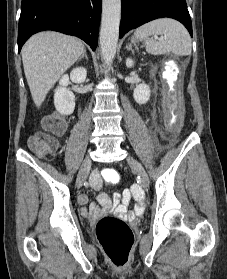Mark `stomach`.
Listing matches in <instances>:
<instances>
[{
  "mask_svg": "<svg viewBox=\"0 0 227 279\" xmlns=\"http://www.w3.org/2000/svg\"><path fill=\"white\" fill-rule=\"evenodd\" d=\"M132 43L136 45V39H132Z\"/></svg>",
  "mask_w": 227,
  "mask_h": 279,
  "instance_id": "0dacf381",
  "label": "stomach"
}]
</instances>
